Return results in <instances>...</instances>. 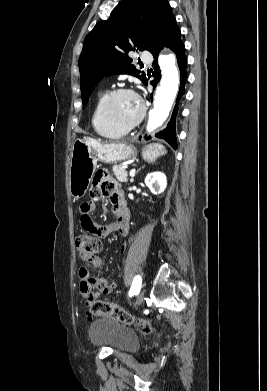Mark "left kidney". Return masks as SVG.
I'll list each match as a JSON object with an SVG mask.
<instances>
[{
  "label": "left kidney",
  "mask_w": 267,
  "mask_h": 391,
  "mask_svg": "<svg viewBox=\"0 0 267 391\" xmlns=\"http://www.w3.org/2000/svg\"><path fill=\"white\" fill-rule=\"evenodd\" d=\"M145 184L153 194H161L167 186L166 176L162 172L149 173L145 178Z\"/></svg>",
  "instance_id": "obj_1"
}]
</instances>
